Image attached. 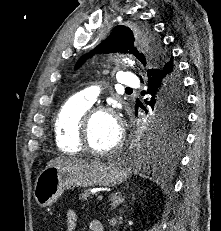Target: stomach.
<instances>
[{"label":"stomach","instance_id":"stomach-1","mask_svg":"<svg viewBox=\"0 0 221 231\" xmlns=\"http://www.w3.org/2000/svg\"><path fill=\"white\" fill-rule=\"evenodd\" d=\"M127 171L113 161H83L45 168L37 177L34 197L42 208L52 205L71 186L112 187L126 181Z\"/></svg>","mask_w":221,"mask_h":231}]
</instances>
